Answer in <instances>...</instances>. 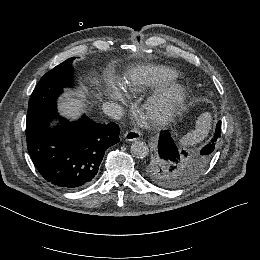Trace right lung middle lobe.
I'll use <instances>...</instances> for the list:
<instances>
[{
  "label": "right lung middle lobe",
  "mask_w": 260,
  "mask_h": 260,
  "mask_svg": "<svg viewBox=\"0 0 260 260\" xmlns=\"http://www.w3.org/2000/svg\"><path fill=\"white\" fill-rule=\"evenodd\" d=\"M73 60L67 59L41 78L28 104L26 128L57 114V97L64 87L72 86Z\"/></svg>",
  "instance_id": "1"
}]
</instances>
